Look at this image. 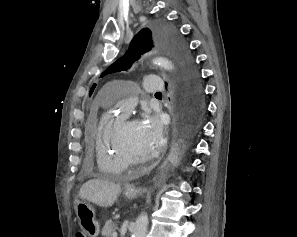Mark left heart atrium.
I'll list each match as a JSON object with an SVG mask.
<instances>
[{
	"instance_id": "left-heart-atrium-1",
	"label": "left heart atrium",
	"mask_w": 297,
	"mask_h": 237,
	"mask_svg": "<svg viewBox=\"0 0 297 237\" xmlns=\"http://www.w3.org/2000/svg\"><path fill=\"white\" fill-rule=\"evenodd\" d=\"M137 123L145 143L155 149L160 144L163 136L160 118L155 114L145 112Z\"/></svg>"
}]
</instances>
